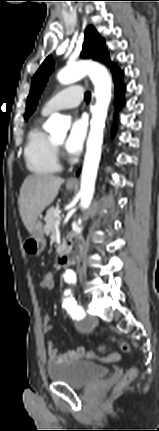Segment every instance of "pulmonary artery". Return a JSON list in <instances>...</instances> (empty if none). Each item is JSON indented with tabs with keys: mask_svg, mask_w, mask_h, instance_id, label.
Wrapping results in <instances>:
<instances>
[{
	"mask_svg": "<svg viewBox=\"0 0 159 431\" xmlns=\"http://www.w3.org/2000/svg\"><path fill=\"white\" fill-rule=\"evenodd\" d=\"M83 99V87L71 85L54 94L42 107V114L48 115L55 111L77 107Z\"/></svg>",
	"mask_w": 159,
	"mask_h": 431,
	"instance_id": "obj_1",
	"label": "pulmonary artery"
}]
</instances>
